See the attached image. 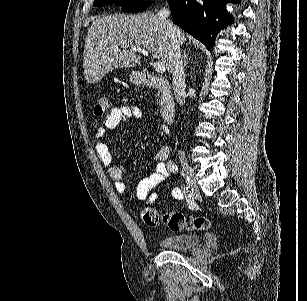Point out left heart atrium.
<instances>
[{
  "label": "left heart atrium",
  "instance_id": "obj_1",
  "mask_svg": "<svg viewBox=\"0 0 307 301\" xmlns=\"http://www.w3.org/2000/svg\"><path fill=\"white\" fill-rule=\"evenodd\" d=\"M161 62H175V61H161Z\"/></svg>",
  "mask_w": 307,
  "mask_h": 301
}]
</instances>
